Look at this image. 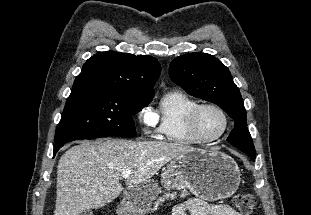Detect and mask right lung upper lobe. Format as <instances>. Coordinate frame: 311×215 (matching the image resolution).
Instances as JSON below:
<instances>
[{
  "label": "right lung upper lobe",
  "mask_w": 311,
  "mask_h": 215,
  "mask_svg": "<svg viewBox=\"0 0 311 215\" xmlns=\"http://www.w3.org/2000/svg\"><path fill=\"white\" fill-rule=\"evenodd\" d=\"M161 66L152 56L98 52L86 61L73 89L94 87L141 96L154 95Z\"/></svg>",
  "instance_id": "right-lung-upper-lobe-1"
}]
</instances>
